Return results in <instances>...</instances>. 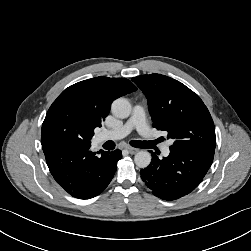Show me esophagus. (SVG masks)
I'll return each mask as SVG.
<instances>
[{
	"label": "esophagus",
	"mask_w": 251,
	"mask_h": 251,
	"mask_svg": "<svg viewBox=\"0 0 251 251\" xmlns=\"http://www.w3.org/2000/svg\"><path fill=\"white\" fill-rule=\"evenodd\" d=\"M126 150L130 153V154H135L137 153L139 150L137 148H133V147H126Z\"/></svg>",
	"instance_id": "34e87169"
}]
</instances>
